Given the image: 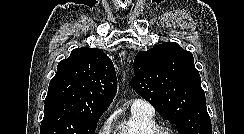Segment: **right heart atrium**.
<instances>
[{
    "instance_id": "right-heart-atrium-1",
    "label": "right heart atrium",
    "mask_w": 244,
    "mask_h": 134,
    "mask_svg": "<svg viewBox=\"0 0 244 134\" xmlns=\"http://www.w3.org/2000/svg\"><path fill=\"white\" fill-rule=\"evenodd\" d=\"M111 123H112V117L109 116L103 121L97 134H110Z\"/></svg>"
}]
</instances>
